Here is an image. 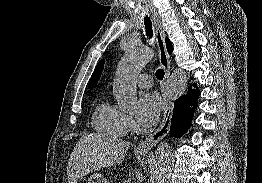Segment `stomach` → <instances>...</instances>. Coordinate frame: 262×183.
<instances>
[{
  "instance_id": "1",
  "label": "stomach",
  "mask_w": 262,
  "mask_h": 183,
  "mask_svg": "<svg viewBox=\"0 0 262 183\" xmlns=\"http://www.w3.org/2000/svg\"><path fill=\"white\" fill-rule=\"evenodd\" d=\"M140 155L145 156V155H147V152H141ZM87 183H110V182L103 175L98 174V173H93L88 178Z\"/></svg>"
}]
</instances>
